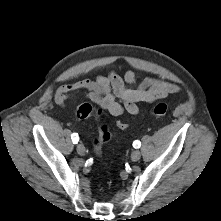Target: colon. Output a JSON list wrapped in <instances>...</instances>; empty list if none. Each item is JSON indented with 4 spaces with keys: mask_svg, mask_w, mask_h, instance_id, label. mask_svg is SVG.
Listing matches in <instances>:
<instances>
[{
    "mask_svg": "<svg viewBox=\"0 0 221 221\" xmlns=\"http://www.w3.org/2000/svg\"><path fill=\"white\" fill-rule=\"evenodd\" d=\"M152 116L156 118L165 117L168 113V106L165 103L156 104L150 110ZM76 117L78 119H86L89 117H95L98 121H103L104 114L101 109H95L88 103L81 104L76 109ZM117 126L120 129H126L128 124L122 121L117 122ZM111 139V132L106 124H100L98 127L97 137L93 141V149L96 155L101 153L102 146Z\"/></svg>",
    "mask_w": 221,
    "mask_h": 221,
    "instance_id": "5ec220e1",
    "label": "colon"
}]
</instances>
